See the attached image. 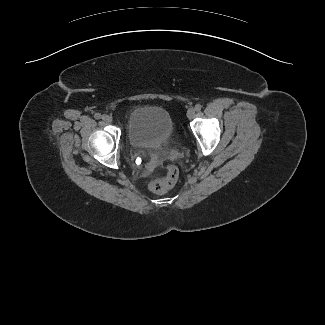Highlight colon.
<instances>
[{
  "label": "colon",
  "mask_w": 325,
  "mask_h": 325,
  "mask_svg": "<svg viewBox=\"0 0 325 325\" xmlns=\"http://www.w3.org/2000/svg\"><path fill=\"white\" fill-rule=\"evenodd\" d=\"M179 172L174 165L165 167V176L162 179H154L148 183V189L156 194H164L170 191L177 183Z\"/></svg>",
  "instance_id": "colon-1"
}]
</instances>
